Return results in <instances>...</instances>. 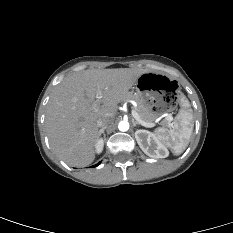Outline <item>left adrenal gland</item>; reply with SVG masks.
I'll use <instances>...</instances> for the list:
<instances>
[{"instance_id":"obj_1","label":"left adrenal gland","mask_w":233,"mask_h":233,"mask_svg":"<svg viewBox=\"0 0 233 233\" xmlns=\"http://www.w3.org/2000/svg\"><path fill=\"white\" fill-rule=\"evenodd\" d=\"M132 123H133L134 126L139 125V123L137 121H135L134 119H132Z\"/></svg>"}]
</instances>
